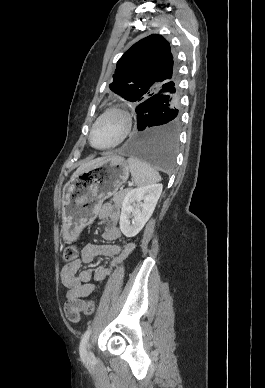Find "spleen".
Returning <instances> with one entry per match:
<instances>
[{"label": "spleen", "instance_id": "1", "mask_svg": "<svg viewBox=\"0 0 265 388\" xmlns=\"http://www.w3.org/2000/svg\"><path fill=\"white\" fill-rule=\"evenodd\" d=\"M127 162L136 186H150V184L160 182L161 176L144 160H138L132 156V158H128Z\"/></svg>", "mask_w": 265, "mask_h": 388}]
</instances>
